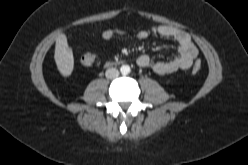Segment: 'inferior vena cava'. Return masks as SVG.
Segmentation results:
<instances>
[{
    "label": "inferior vena cava",
    "mask_w": 248,
    "mask_h": 165,
    "mask_svg": "<svg viewBox=\"0 0 248 165\" xmlns=\"http://www.w3.org/2000/svg\"><path fill=\"white\" fill-rule=\"evenodd\" d=\"M105 76L108 79H115L119 76V71L116 68H109L106 70Z\"/></svg>",
    "instance_id": "602c4592"
}]
</instances>
